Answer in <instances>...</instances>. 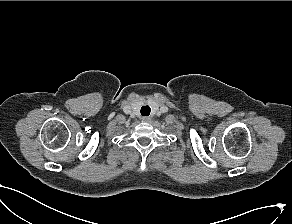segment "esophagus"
I'll list each match as a JSON object with an SVG mask.
<instances>
[{"instance_id":"34e87169","label":"esophagus","mask_w":292,"mask_h":224,"mask_svg":"<svg viewBox=\"0 0 292 224\" xmlns=\"http://www.w3.org/2000/svg\"><path fill=\"white\" fill-rule=\"evenodd\" d=\"M150 120H151L150 117H143V118H142V121H143V122H149Z\"/></svg>"}]
</instances>
